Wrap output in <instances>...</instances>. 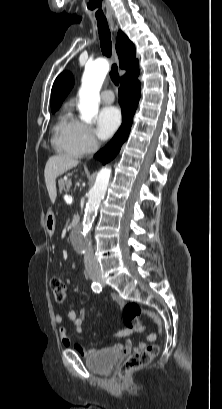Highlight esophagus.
<instances>
[{"label": "esophagus", "instance_id": "esophagus-1", "mask_svg": "<svg viewBox=\"0 0 222 409\" xmlns=\"http://www.w3.org/2000/svg\"><path fill=\"white\" fill-rule=\"evenodd\" d=\"M110 25L113 27V22H110ZM112 53H113V56H114L117 64H119V59H118V56H117V53H116V50H115V44H113Z\"/></svg>", "mask_w": 222, "mask_h": 409}]
</instances>
